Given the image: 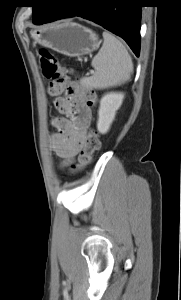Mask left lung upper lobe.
<instances>
[{
    "label": "left lung upper lobe",
    "instance_id": "1",
    "mask_svg": "<svg viewBox=\"0 0 181 300\" xmlns=\"http://www.w3.org/2000/svg\"><path fill=\"white\" fill-rule=\"evenodd\" d=\"M57 0H33V23L41 25L53 13Z\"/></svg>",
    "mask_w": 181,
    "mask_h": 300
}]
</instances>
